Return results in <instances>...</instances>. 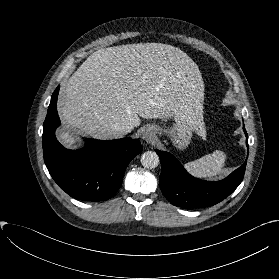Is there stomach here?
Instances as JSON below:
<instances>
[{"mask_svg":"<svg viewBox=\"0 0 279 279\" xmlns=\"http://www.w3.org/2000/svg\"><path fill=\"white\" fill-rule=\"evenodd\" d=\"M202 112L200 114H189L187 117L176 116L171 126H154L159 134H166L171 138L174 146L179 149H186L191 139L202 125Z\"/></svg>","mask_w":279,"mask_h":279,"instance_id":"stomach-1","label":"stomach"}]
</instances>
